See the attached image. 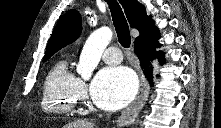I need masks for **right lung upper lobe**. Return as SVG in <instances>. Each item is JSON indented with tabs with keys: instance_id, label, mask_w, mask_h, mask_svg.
Listing matches in <instances>:
<instances>
[{
	"instance_id": "obj_1",
	"label": "right lung upper lobe",
	"mask_w": 221,
	"mask_h": 128,
	"mask_svg": "<svg viewBox=\"0 0 221 128\" xmlns=\"http://www.w3.org/2000/svg\"><path fill=\"white\" fill-rule=\"evenodd\" d=\"M128 22L132 28H136L140 35L135 42H152L158 39L159 31L154 25L151 16L146 15L142 4L136 0H119ZM81 16L78 11L69 10L56 25L49 40L45 56L53 55L67 44L74 42L81 33Z\"/></svg>"
}]
</instances>
